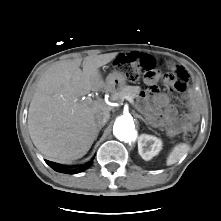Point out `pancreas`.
<instances>
[{
    "label": "pancreas",
    "mask_w": 221,
    "mask_h": 221,
    "mask_svg": "<svg viewBox=\"0 0 221 221\" xmlns=\"http://www.w3.org/2000/svg\"><path fill=\"white\" fill-rule=\"evenodd\" d=\"M139 91V86H124L120 91L114 93L113 98L115 100L122 99L125 96H131L132 98H135L137 97Z\"/></svg>",
    "instance_id": "cf45deb5"
}]
</instances>
